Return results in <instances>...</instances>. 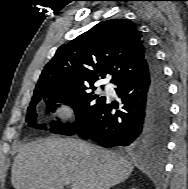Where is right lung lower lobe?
Here are the masks:
<instances>
[{"label":"right lung lower lobe","instance_id":"right-lung-lower-lobe-1","mask_svg":"<svg viewBox=\"0 0 188 189\" xmlns=\"http://www.w3.org/2000/svg\"><path fill=\"white\" fill-rule=\"evenodd\" d=\"M148 71L124 81L115 88L124 106L105 100L93 118L76 134L90 138L103 147H149L161 153L169 134L170 100L163 70L152 51Z\"/></svg>","mask_w":188,"mask_h":189}]
</instances>
